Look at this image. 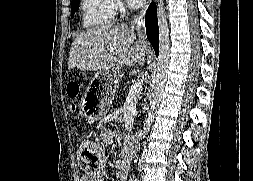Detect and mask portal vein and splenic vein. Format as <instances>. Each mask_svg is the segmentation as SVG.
Here are the masks:
<instances>
[{"instance_id":"portal-vein-and-splenic-vein-1","label":"portal vein and splenic vein","mask_w":253,"mask_h":181,"mask_svg":"<svg viewBox=\"0 0 253 181\" xmlns=\"http://www.w3.org/2000/svg\"><path fill=\"white\" fill-rule=\"evenodd\" d=\"M141 88L142 86L140 81H135L130 88V92H139Z\"/></svg>"}]
</instances>
